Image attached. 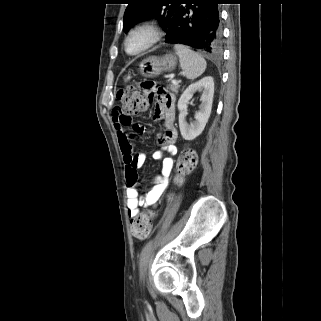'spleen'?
<instances>
[{"mask_svg":"<svg viewBox=\"0 0 321 321\" xmlns=\"http://www.w3.org/2000/svg\"><path fill=\"white\" fill-rule=\"evenodd\" d=\"M174 49L179 57L182 74L187 79L194 80L204 73L207 63L199 53L181 44L174 45Z\"/></svg>","mask_w":321,"mask_h":321,"instance_id":"3e777b00","label":"spleen"}]
</instances>
